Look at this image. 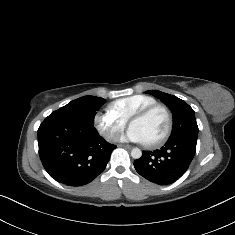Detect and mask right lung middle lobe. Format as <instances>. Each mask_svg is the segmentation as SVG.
I'll return each instance as SVG.
<instances>
[{"label":"right lung middle lobe","instance_id":"right-lung-middle-lobe-1","mask_svg":"<svg viewBox=\"0 0 235 235\" xmlns=\"http://www.w3.org/2000/svg\"><path fill=\"white\" fill-rule=\"evenodd\" d=\"M104 102L103 98L95 96H83L71 101L67 105L61 107L55 113H63L73 117H77L85 122L93 123L96 110Z\"/></svg>","mask_w":235,"mask_h":235}]
</instances>
